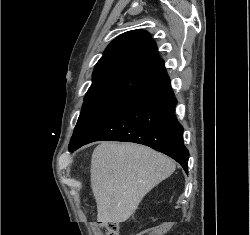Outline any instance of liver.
<instances>
[{
    "instance_id": "1",
    "label": "liver",
    "mask_w": 250,
    "mask_h": 235,
    "mask_svg": "<svg viewBox=\"0 0 250 235\" xmlns=\"http://www.w3.org/2000/svg\"><path fill=\"white\" fill-rule=\"evenodd\" d=\"M175 168L170 158L151 148L102 142L91 158V188L97 203V220L125 222L143 197Z\"/></svg>"
}]
</instances>
